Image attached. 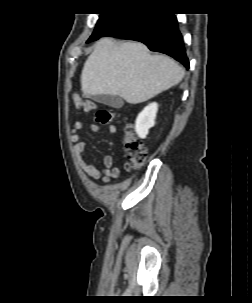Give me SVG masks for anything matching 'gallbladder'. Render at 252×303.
<instances>
[{
	"label": "gallbladder",
	"instance_id": "gallbladder-1",
	"mask_svg": "<svg viewBox=\"0 0 252 303\" xmlns=\"http://www.w3.org/2000/svg\"><path fill=\"white\" fill-rule=\"evenodd\" d=\"M93 100L117 109L121 108L124 105L123 99L118 95H95L93 96Z\"/></svg>",
	"mask_w": 252,
	"mask_h": 303
}]
</instances>
